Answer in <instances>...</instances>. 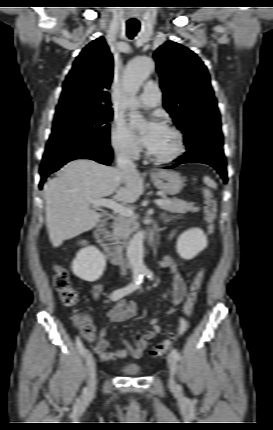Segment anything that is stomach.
Listing matches in <instances>:
<instances>
[{
    "label": "stomach",
    "instance_id": "0dacf381",
    "mask_svg": "<svg viewBox=\"0 0 273 430\" xmlns=\"http://www.w3.org/2000/svg\"><path fill=\"white\" fill-rule=\"evenodd\" d=\"M151 178L156 188L169 195L178 194L184 186V179L175 171H158Z\"/></svg>",
    "mask_w": 273,
    "mask_h": 430
}]
</instances>
